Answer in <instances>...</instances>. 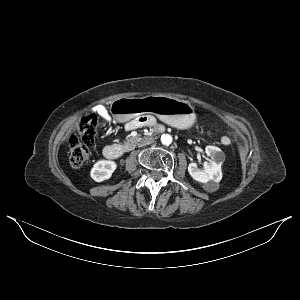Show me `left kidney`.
I'll return each mask as SVG.
<instances>
[{"label":"left kidney","mask_w":300,"mask_h":300,"mask_svg":"<svg viewBox=\"0 0 300 300\" xmlns=\"http://www.w3.org/2000/svg\"><path fill=\"white\" fill-rule=\"evenodd\" d=\"M205 152L211 159L204 163V169L200 170L196 163H190L188 172L194 180L200 183L209 181L219 183L222 179L221 166L225 160V154L216 146H206Z\"/></svg>","instance_id":"obj_1"}]
</instances>
